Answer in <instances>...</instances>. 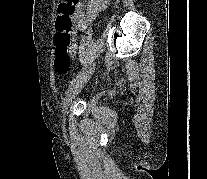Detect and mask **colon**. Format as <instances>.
Masks as SVG:
<instances>
[{
  "mask_svg": "<svg viewBox=\"0 0 207 179\" xmlns=\"http://www.w3.org/2000/svg\"><path fill=\"white\" fill-rule=\"evenodd\" d=\"M79 0H62L58 6V16L55 22L54 35L55 58L54 67L58 74L65 75L71 67L70 49L73 41L72 17Z\"/></svg>",
  "mask_w": 207,
  "mask_h": 179,
  "instance_id": "obj_1",
  "label": "colon"
}]
</instances>
